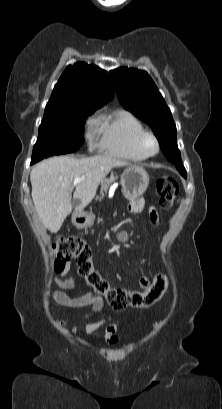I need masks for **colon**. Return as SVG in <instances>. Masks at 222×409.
Returning <instances> with one entry per match:
<instances>
[{"mask_svg": "<svg viewBox=\"0 0 222 409\" xmlns=\"http://www.w3.org/2000/svg\"><path fill=\"white\" fill-rule=\"evenodd\" d=\"M156 192L160 206L168 209L178 196L179 185L173 177L163 175L156 181ZM52 250L55 271H63L70 260H75L79 274L95 294L104 297L111 308L117 311L128 307L150 306L159 300L167 288L168 282L164 275L157 276L152 282L148 281L141 290L131 291L111 286L95 268L89 244L80 238H60L54 243Z\"/></svg>", "mask_w": 222, "mask_h": 409, "instance_id": "1", "label": "colon"}]
</instances>
